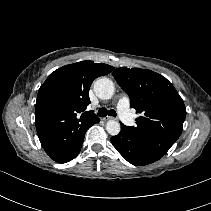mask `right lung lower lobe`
Returning a JSON list of instances; mask_svg holds the SVG:
<instances>
[{
    "label": "right lung lower lobe",
    "instance_id": "1",
    "mask_svg": "<svg viewBox=\"0 0 211 211\" xmlns=\"http://www.w3.org/2000/svg\"><path fill=\"white\" fill-rule=\"evenodd\" d=\"M86 131L87 129L77 132L73 143L63 153L52 156L51 159L58 163H66L74 159L80 152Z\"/></svg>",
    "mask_w": 211,
    "mask_h": 211
}]
</instances>
